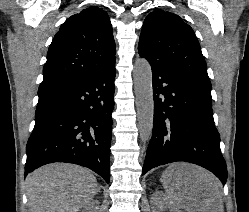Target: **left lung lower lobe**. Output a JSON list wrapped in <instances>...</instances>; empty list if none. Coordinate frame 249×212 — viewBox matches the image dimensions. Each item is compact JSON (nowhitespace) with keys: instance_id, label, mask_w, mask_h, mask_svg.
I'll use <instances>...</instances> for the list:
<instances>
[{"instance_id":"obj_1","label":"left lung lower lobe","mask_w":249,"mask_h":212,"mask_svg":"<svg viewBox=\"0 0 249 212\" xmlns=\"http://www.w3.org/2000/svg\"><path fill=\"white\" fill-rule=\"evenodd\" d=\"M150 63L154 121L142 174L184 161L210 170L225 184L227 168L213 120L211 83L159 62Z\"/></svg>"}]
</instances>
